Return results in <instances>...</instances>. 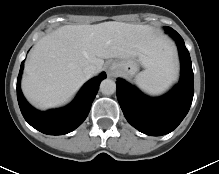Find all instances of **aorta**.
I'll list each match as a JSON object with an SVG mask.
<instances>
[{
	"mask_svg": "<svg viewBox=\"0 0 219 174\" xmlns=\"http://www.w3.org/2000/svg\"><path fill=\"white\" fill-rule=\"evenodd\" d=\"M100 91L104 95H112L116 92V83L112 79H104L100 84Z\"/></svg>",
	"mask_w": 219,
	"mask_h": 174,
	"instance_id": "1",
	"label": "aorta"
}]
</instances>
